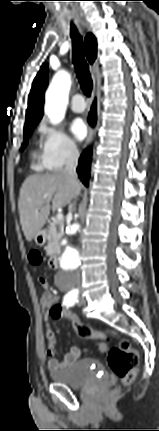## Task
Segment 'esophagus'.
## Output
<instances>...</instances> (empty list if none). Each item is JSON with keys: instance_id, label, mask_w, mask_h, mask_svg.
<instances>
[{"instance_id": "esophagus-1", "label": "esophagus", "mask_w": 159, "mask_h": 431, "mask_svg": "<svg viewBox=\"0 0 159 431\" xmlns=\"http://www.w3.org/2000/svg\"><path fill=\"white\" fill-rule=\"evenodd\" d=\"M92 138H93V130H92L91 127H89L88 128V136H87V139H86V146H88L91 143Z\"/></svg>"}]
</instances>
